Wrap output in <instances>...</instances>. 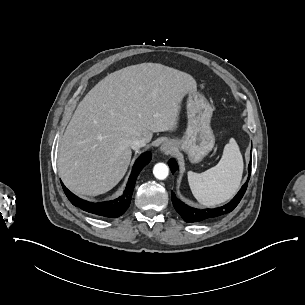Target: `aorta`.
<instances>
[{
    "label": "aorta",
    "mask_w": 305,
    "mask_h": 305,
    "mask_svg": "<svg viewBox=\"0 0 305 305\" xmlns=\"http://www.w3.org/2000/svg\"><path fill=\"white\" fill-rule=\"evenodd\" d=\"M154 176L159 180H164L169 174V168L165 163H157L153 168Z\"/></svg>",
    "instance_id": "obj_1"
}]
</instances>
